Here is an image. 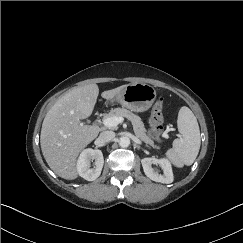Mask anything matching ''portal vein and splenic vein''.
Returning <instances> with one entry per match:
<instances>
[{"label":"portal vein and splenic vein","mask_w":243,"mask_h":243,"mask_svg":"<svg viewBox=\"0 0 243 243\" xmlns=\"http://www.w3.org/2000/svg\"><path fill=\"white\" fill-rule=\"evenodd\" d=\"M124 121L123 117H108V118H104L102 120V123L104 126L108 127V128H112V127H116L119 123H122Z\"/></svg>","instance_id":"obj_1"}]
</instances>
